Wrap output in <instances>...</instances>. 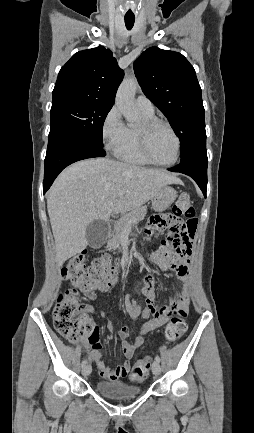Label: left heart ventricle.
<instances>
[{
    "label": "left heart ventricle",
    "instance_id": "left-heart-ventricle-1",
    "mask_svg": "<svg viewBox=\"0 0 254 433\" xmlns=\"http://www.w3.org/2000/svg\"><path fill=\"white\" fill-rule=\"evenodd\" d=\"M149 147L153 157L159 162L168 163L175 158L176 141L165 127H157L150 133Z\"/></svg>",
    "mask_w": 254,
    "mask_h": 433
}]
</instances>
